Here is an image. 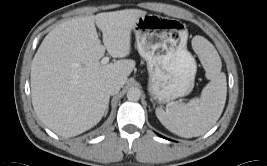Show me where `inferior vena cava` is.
<instances>
[{
    "mask_svg": "<svg viewBox=\"0 0 267 166\" xmlns=\"http://www.w3.org/2000/svg\"><path fill=\"white\" fill-rule=\"evenodd\" d=\"M121 84L115 80H109L105 84V90L109 95L117 94L121 89Z\"/></svg>",
    "mask_w": 267,
    "mask_h": 166,
    "instance_id": "602c4592",
    "label": "inferior vena cava"
}]
</instances>
